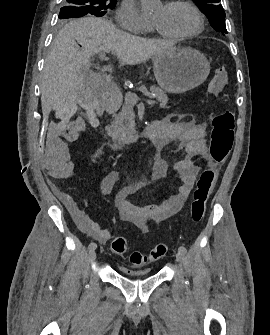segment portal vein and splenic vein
<instances>
[{
	"mask_svg": "<svg viewBox=\"0 0 270 335\" xmlns=\"http://www.w3.org/2000/svg\"><path fill=\"white\" fill-rule=\"evenodd\" d=\"M98 56L100 57L99 58V61H102V58H104L105 56H106V53L104 52V51H100L99 53H98ZM126 93L128 94L127 95V100L128 101H137V100H139V101H142L143 99H144V96L142 95V94H139V95H137L136 94V92L135 91H133L131 88H128L127 90H126ZM145 100V99H144ZM146 103L147 104H151V105H154V104H156V101H154V100H147L146 99Z\"/></svg>",
	"mask_w": 270,
	"mask_h": 335,
	"instance_id": "1",
	"label": "portal vein and splenic vein"
}]
</instances>
